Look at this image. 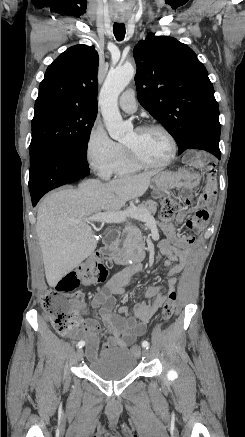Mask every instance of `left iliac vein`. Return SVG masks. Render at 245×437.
Returning a JSON list of instances; mask_svg holds the SVG:
<instances>
[{"label": "left iliac vein", "instance_id": "obj_1", "mask_svg": "<svg viewBox=\"0 0 245 437\" xmlns=\"http://www.w3.org/2000/svg\"><path fill=\"white\" fill-rule=\"evenodd\" d=\"M142 355H143L146 359H148V358L150 357V353H149L148 349L144 348L143 351H142Z\"/></svg>", "mask_w": 245, "mask_h": 437}]
</instances>
